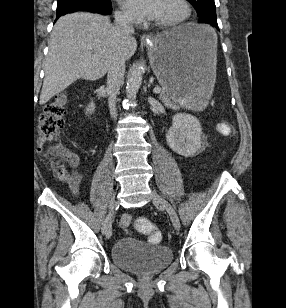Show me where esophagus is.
Instances as JSON below:
<instances>
[{
  "mask_svg": "<svg viewBox=\"0 0 286 308\" xmlns=\"http://www.w3.org/2000/svg\"><path fill=\"white\" fill-rule=\"evenodd\" d=\"M148 38H150L149 35H144V36H143V39H148Z\"/></svg>",
  "mask_w": 286,
  "mask_h": 308,
  "instance_id": "34e87169",
  "label": "esophagus"
}]
</instances>
